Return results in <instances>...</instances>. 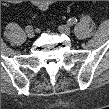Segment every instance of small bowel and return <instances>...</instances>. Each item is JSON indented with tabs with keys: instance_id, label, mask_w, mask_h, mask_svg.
Instances as JSON below:
<instances>
[{
	"instance_id": "obj_1",
	"label": "small bowel",
	"mask_w": 109,
	"mask_h": 109,
	"mask_svg": "<svg viewBox=\"0 0 109 109\" xmlns=\"http://www.w3.org/2000/svg\"><path fill=\"white\" fill-rule=\"evenodd\" d=\"M35 6L41 10H46L51 6V1H35Z\"/></svg>"
}]
</instances>
